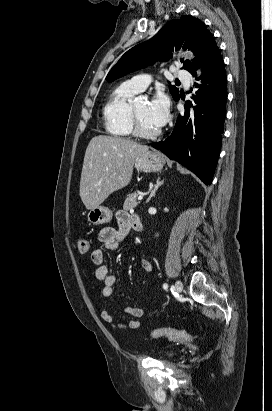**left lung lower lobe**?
<instances>
[{"label":"left lung lower lobe","mask_w":272,"mask_h":411,"mask_svg":"<svg viewBox=\"0 0 272 411\" xmlns=\"http://www.w3.org/2000/svg\"><path fill=\"white\" fill-rule=\"evenodd\" d=\"M202 71L197 79H201L202 84L195 83L198 91L193 97L194 104H185V113L178 116L173 133L164 141L153 143L152 147L187 167L209 185L218 162L226 116V72L219 48Z\"/></svg>","instance_id":"1"}]
</instances>
